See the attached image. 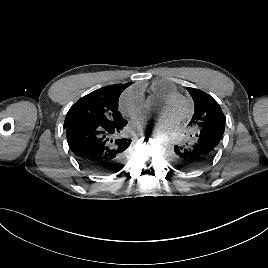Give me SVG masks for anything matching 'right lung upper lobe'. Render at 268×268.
I'll list each match as a JSON object with an SVG mask.
<instances>
[{"instance_id":"cb5924a9","label":"right lung upper lobe","mask_w":268,"mask_h":268,"mask_svg":"<svg viewBox=\"0 0 268 268\" xmlns=\"http://www.w3.org/2000/svg\"><path fill=\"white\" fill-rule=\"evenodd\" d=\"M132 82L126 83V84H115V85H110L107 86L108 88L116 89L119 91H123L126 87H128Z\"/></svg>"}]
</instances>
